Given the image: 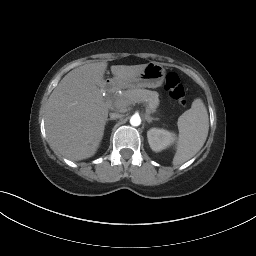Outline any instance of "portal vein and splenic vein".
Segmentation results:
<instances>
[{
    "mask_svg": "<svg viewBox=\"0 0 256 256\" xmlns=\"http://www.w3.org/2000/svg\"><path fill=\"white\" fill-rule=\"evenodd\" d=\"M145 108H146V113L150 114L151 112H150L149 108L148 107H145Z\"/></svg>",
    "mask_w": 256,
    "mask_h": 256,
    "instance_id": "1",
    "label": "portal vein and splenic vein"
}]
</instances>
